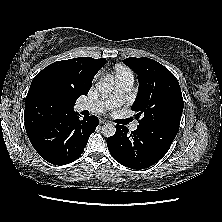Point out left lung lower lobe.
I'll list each match as a JSON object with an SVG mask.
<instances>
[{"instance_id":"left-lung-lower-lobe-1","label":"left lung lower lobe","mask_w":222,"mask_h":222,"mask_svg":"<svg viewBox=\"0 0 222 222\" xmlns=\"http://www.w3.org/2000/svg\"><path fill=\"white\" fill-rule=\"evenodd\" d=\"M179 127L170 124L138 125L135 131L116 125L107 138L112 157L131 169H145L158 162L169 150Z\"/></svg>"}]
</instances>
